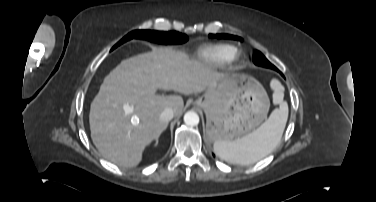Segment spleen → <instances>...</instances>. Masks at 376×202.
Instances as JSON below:
<instances>
[{"mask_svg": "<svg viewBox=\"0 0 376 202\" xmlns=\"http://www.w3.org/2000/svg\"><path fill=\"white\" fill-rule=\"evenodd\" d=\"M274 103L280 104L270 117L255 131L233 141H215V153L228 162L248 165L266 157L279 144L288 118V105L282 101L279 81L273 80Z\"/></svg>", "mask_w": 376, "mask_h": 202, "instance_id": "obj_1", "label": "spleen"}]
</instances>
